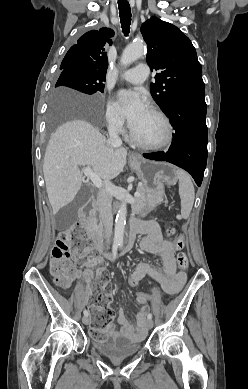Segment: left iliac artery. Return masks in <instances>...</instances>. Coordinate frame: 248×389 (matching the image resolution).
<instances>
[{
    "label": "left iliac artery",
    "mask_w": 248,
    "mask_h": 389,
    "mask_svg": "<svg viewBox=\"0 0 248 389\" xmlns=\"http://www.w3.org/2000/svg\"><path fill=\"white\" fill-rule=\"evenodd\" d=\"M148 319H152V314H148Z\"/></svg>",
    "instance_id": "44dca946"
}]
</instances>
